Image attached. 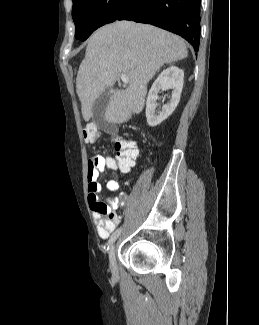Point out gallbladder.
I'll list each match as a JSON object with an SVG mask.
<instances>
[{
	"label": "gallbladder",
	"instance_id": "1",
	"mask_svg": "<svg viewBox=\"0 0 259 325\" xmlns=\"http://www.w3.org/2000/svg\"><path fill=\"white\" fill-rule=\"evenodd\" d=\"M110 102V96L108 93L102 94L93 104L92 113L93 119L101 126L104 131L109 132L110 135H115V130H111L113 125L107 123L103 116L107 105Z\"/></svg>",
	"mask_w": 259,
	"mask_h": 325
}]
</instances>
